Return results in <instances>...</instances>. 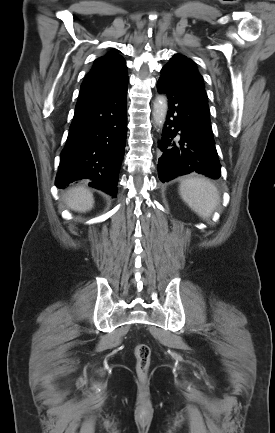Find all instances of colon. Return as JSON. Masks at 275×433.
I'll list each match as a JSON object with an SVG mask.
<instances>
[{"label":"colon","mask_w":275,"mask_h":433,"mask_svg":"<svg viewBox=\"0 0 275 433\" xmlns=\"http://www.w3.org/2000/svg\"><path fill=\"white\" fill-rule=\"evenodd\" d=\"M134 356L136 374L140 379H144L147 377L150 367L151 351L149 346L146 344L135 345Z\"/></svg>","instance_id":"obj_1"}]
</instances>
